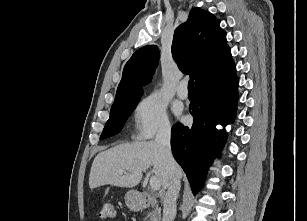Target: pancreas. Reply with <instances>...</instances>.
<instances>
[{
    "label": "pancreas",
    "instance_id": "1",
    "mask_svg": "<svg viewBox=\"0 0 307 221\" xmlns=\"http://www.w3.org/2000/svg\"><path fill=\"white\" fill-rule=\"evenodd\" d=\"M159 219H160V208L156 206L154 210H152L147 214L144 221H159Z\"/></svg>",
    "mask_w": 307,
    "mask_h": 221
}]
</instances>
